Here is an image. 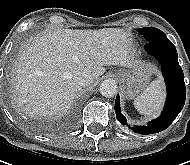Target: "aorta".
I'll list each match as a JSON object with an SVG mask.
<instances>
[{"mask_svg":"<svg viewBox=\"0 0 190 165\" xmlns=\"http://www.w3.org/2000/svg\"><path fill=\"white\" fill-rule=\"evenodd\" d=\"M117 83L113 79H106L101 83L100 92L105 97H113L117 93Z\"/></svg>","mask_w":190,"mask_h":165,"instance_id":"762f6f07","label":"aorta"}]
</instances>
